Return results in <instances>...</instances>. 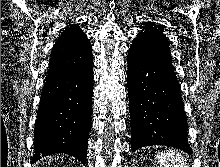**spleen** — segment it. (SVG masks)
I'll list each match as a JSON object with an SVG mask.
<instances>
[{"instance_id":"3e777b00","label":"spleen","mask_w":220,"mask_h":167,"mask_svg":"<svg viewBox=\"0 0 220 167\" xmlns=\"http://www.w3.org/2000/svg\"><path fill=\"white\" fill-rule=\"evenodd\" d=\"M160 167H188L186 158L174 150H166L156 155Z\"/></svg>"}]
</instances>
